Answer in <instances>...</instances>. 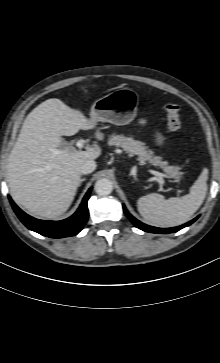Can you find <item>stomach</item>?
<instances>
[{"mask_svg":"<svg viewBox=\"0 0 220 363\" xmlns=\"http://www.w3.org/2000/svg\"><path fill=\"white\" fill-rule=\"evenodd\" d=\"M139 105V95L130 88L117 89L104 97L96 100L90 110V120L97 122H109L115 125H127L136 115ZM165 138L159 132L155 134V143L158 146L164 144Z\"/></svg>","mask_w":220,"mask_h":363,"instance_id":"0dacf381","label":"stomach"}]
</instances>
